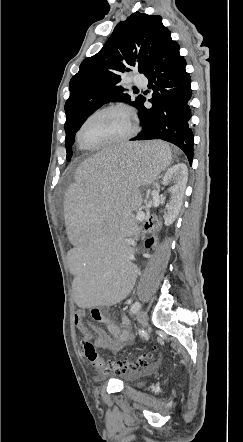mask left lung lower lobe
I'll return each mask as SVG.
<instances>
[{"label":"left lung lower lobe","mask_w":243,"mask_h":442,"mask_svg":"<svg viewBox=\"0 0 243 442\" xmlns=\"http://www.w3.org/2000/svg\"><path fill=\"white\" fill-rule=\"evenodd\" d=\"M186 61L180 56L179 45L169 34L157 55L146 69L148 87L152 90V108L139 110L142 131L132 141L161 139L184 151L192 164L193 132L191 118V79L185 70Z\"/></svg>","instance_id":"left-lung-lower-lobe-1"}]
</instances>
